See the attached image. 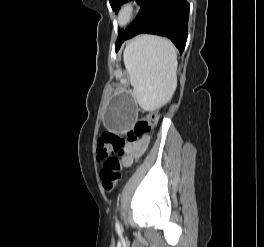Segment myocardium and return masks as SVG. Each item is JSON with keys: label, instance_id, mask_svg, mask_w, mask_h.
Wrapping results in <instances>:
<instances>
[{"label": "myocardium", "instance_id": "1", "mask_svg": "<svg viewBox=\"0 0 264 247\" xmlns=\"http://www.w3.org/2000/svg\"><path fill=\"white\" fill-rule=\"evenodd\" d=\"M136 12L137 7L135 2L128 1L121 4L116 14V20L118 24L120 26H126L130 24L134 20Z\"/></svg>", "mask_w": 264, "mask_h": 247}]
</instances>
